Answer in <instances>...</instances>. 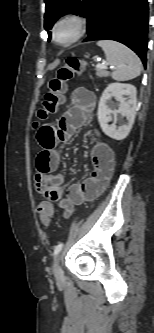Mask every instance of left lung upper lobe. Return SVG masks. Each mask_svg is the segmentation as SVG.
Instances as JSON below:
<instances>
[{
	"label": "left lung upper lobe",
	"mask_w": 154,
	"mask_h": 333,
	"mask_svg": "<svg viewBox=\"0 0 154 333\" xmlns=\"http://www.w3.org/2000/svg\"><path fill=\"white\" fill-rule=\"evenodd\" d=\"M96 1L97 0H45V29L49 31L58 18L68 13L81 14L87 17Z\"/></svg>",
	"instance_id": "left-lung-upper-lobe-1"
}]
</instances>
